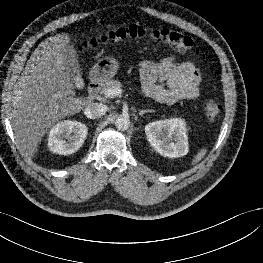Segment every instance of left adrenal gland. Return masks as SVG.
Instances as JSON below:
<instances>
[{
    "instance_id": "left-adrenal-gland-1",
    "label": "left adrenal gland",
    "mask_w": 263,
    "mask_h": 263,
    "mask_svg": "<svg viewBox=\"0 0 263 263\" xmlns=\"http://www.w3.org/2000/svg\"><path fill=\"white\" fill-rule=\"evenodd\" d=\"M147 112H153V110H149V109L141 110V111H139V115L142 116L144 113H147Z\"/></svg>"
}]
</instances>
